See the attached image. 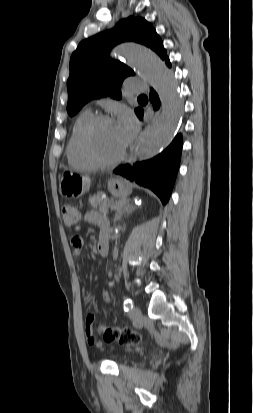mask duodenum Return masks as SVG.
Returning <instances> with one entry per match:
<instances>
[{
  "label": "duodenum",
  "instance_id": "duodenum-1",
  "mask_svg": "<svg viewBox=\"0 0 253 413\" xmlns=\"http://www.w3.org/2000/svg\"><path fill=\"white\" fill-rule=\"evenodd\" d=\"M97 251L101 256H106L108 254L109 236L107 231L101 233L97 243Z\"/></svg>",
  "mask_w": 253,
  "mask_h": 413
}]
</instances>
